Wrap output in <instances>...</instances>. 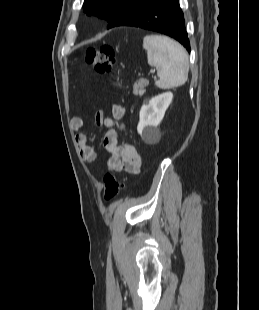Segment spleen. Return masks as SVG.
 Masks as SVG:
<instances>
[{"label": "spleen", "mask_w": 259, "mask_h": 310, "mask_svg": "<svg viewBox=\"0 0 259 310\" xmlns=\"http://www.w3.org/2000/svg\"><path fill=\"white\" fill-rule=\"evenodd\" d=\"M143 48L148 64L157 68L155 84L161 89L182 86L189 73V58L182 45L162 35H146Z\"/></svg>", "instance_id": "obj_1"}]
</instances>
